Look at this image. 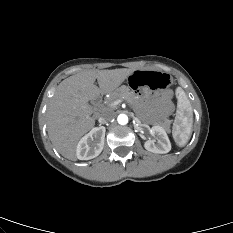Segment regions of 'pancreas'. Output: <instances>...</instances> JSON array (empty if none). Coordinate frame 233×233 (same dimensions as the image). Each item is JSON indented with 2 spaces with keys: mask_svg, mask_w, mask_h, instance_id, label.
Wrapping results in <instances>:
<instances>
[{
  "mask_svg": "<svg viewBox=\"0 0 233 233\" xmlns=\"http://www.w3.org/2000/svg\"><path fill=\"white\" fill-rule=\"evenodd\" d=\"M120 99L126 100L131 105H134L139 100V98L135 96V94L131 92L128 87L121 86L119 89L110 94V97L107 99L106 103L108 106L114 108L115 106H112V104Z\"/></svg>",
  "mask_w": 233,
  "mask_h": 233,
  "instance_id": "pancreas-1",
  "label": "pancreas"
}]
</instances>
